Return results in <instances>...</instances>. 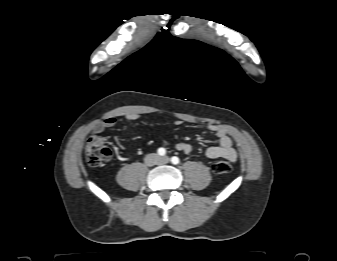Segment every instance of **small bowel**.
<instances>
[{"mask_svg": "<svg viewBox=\"0 0 337 261\" xmlns=\"http://www.w3.org/2000/svg\"><path fill=\"white\" fill-rule=\"evenodd\" d=\"M140 118L137 113H128L125 115V120L127 122L136 121ZM117 120L115 117H108L98 123L95 127L96 133H102L107 128L113 127ZM182 121L177 120L176 125H180ZM207 129L213 132L218 138V145L210 146L206 150V156L210 159L225 158L231 162H234L237 158V153L233 147V142L227 131L215 124L207 125ZM176 149L189 154L192 152V146L186 142H178L175 145Z\"/></svg>", "mask_w": 337, "mask_h": 261, "instance_id": "c3829d8e", "label": "small bowel"}]
</instances>
